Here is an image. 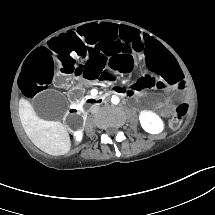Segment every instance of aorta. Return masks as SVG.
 Here are the masks:
<instances>
[{
	"label": "aorta",
	"mask_w": 215,
	"mask_h": 215,
	"mask_svg": "<svg viewBox=\"0 0 215 215\" xmlns=\"http://www.w3.org/2000/svg\"><path fill=\"white\" fill-rule=\"evenodd\" d=\"M111 102L113 103V104H118L119 102H120V99H119V97L118 96H112V98H111Z\"/></svg>",
	"instance_id": "aorta-1"
}]
</instances>
